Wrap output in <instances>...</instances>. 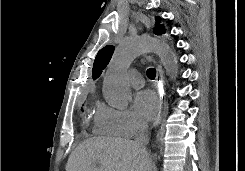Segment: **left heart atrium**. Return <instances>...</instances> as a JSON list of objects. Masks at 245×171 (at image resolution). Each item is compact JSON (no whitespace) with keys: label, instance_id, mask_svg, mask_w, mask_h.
<instances>
[{"label":"left heart atrium","instance_id":"1","mask_svg":"<svg viewBox=\"0 0 245 171\" xmlns=\"http://www.w3.org/2000/svg\"><path fill=\"white\" fill-rule=\"evenodd\" d=\"M134 108L141 117L151 120L159 110L158 97L151 90L139 91L134 97Z\"/></svg>","mask_w":245,"mask_h":171}]
</instances>
